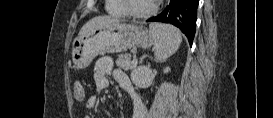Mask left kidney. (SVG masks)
<instances>
[{
    "label": "left kidney",
    "instance_id": "1",
    "mask_svg": "<svg viewBox=\"0 0 273 118\" xmlns=\"http://www.w3.org/2000/svg\"><path fill=\"white\" fill-rule=\"evenodd\" d=\"M170 71V68L169 67H166L165 69H164V73H168Z\"/></svg>",
    "mask_w": 273,
    "mask_h": 118
}]
</instances>
